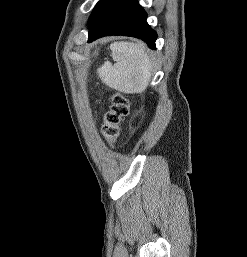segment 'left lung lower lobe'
Listing matches in <instances>:
<instances>
[{
  "instance_id": "left-lung-lower-lobe-1",
  "label": "left lung lower lobe",
  "mask_w": 247,
  "mask_h": 257,
  "mask_svg": "<svg viewBox=\"0 0 247 257\" xmlns=\"http://www.w3.org/2000/svg\"><path fill=\"white\" fill-rule=\"evenodd\" d=\"M137 0H100L89 18L88 43L107 35L133 36L155 49L156 32Z\"/></svg>"
}]
</instances>
